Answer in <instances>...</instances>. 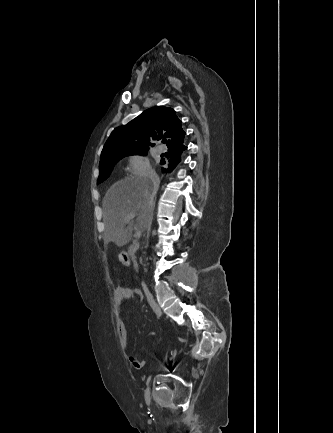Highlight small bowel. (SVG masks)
<instances>
[{"label": "small bowel", "instance_id": "c3829d8e", "mask_svg": "<svg viewBox=\"0 0 333 433\" xmlns=\"http://www.w3.org/2000/svg\"><path fill=\"white\" fill-rule=\"evenodd\" d=\"M134 298L138 301H141L143 299V292L139 288H127V287H118L115 290V299L116 302L120 305L125 299ZM117 329L119 333V341L124 349V351L127 353L129 362L135 367V368H141L142 361H140L132 352L129 350V337L127 328L125 325L123 314L119 313V319L117 323Z\"/></svg>", "mask_w": 333, "mask_h": 433}]
</instances>
